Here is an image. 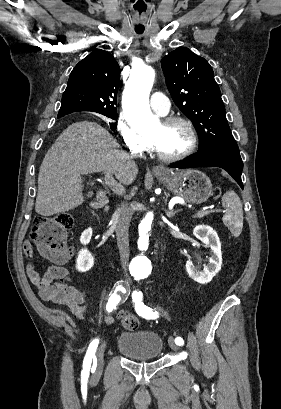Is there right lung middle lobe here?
Here are the masks:
<instances>
[{
  "mask_svg": "<svg viewBox=\"0 0 281 409\" xmlns=\"http://www.w3.org/2000/svg\"><path fill=\"white\" fill-rule=\"evenodd\" d=\"M100 114L105 115V116H107V117H109L111 119H114V120H116L118 118L117 112H102Z\"/></svg>",
  "mask_w": 281,
  "mask_h": 409,
  "instance_id": "1",
  "label": "right lung middle lobe"
}]
</instances>
